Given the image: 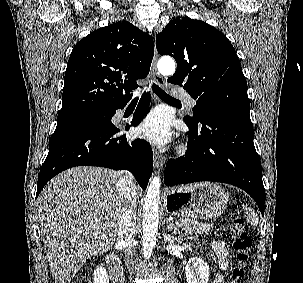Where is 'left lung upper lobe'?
<instances>
[{
	"label": "left lung upper lobe",
	"mask_w": 303,
	"mask_h": 283,
	"mask_svg": "<svg viewBox=\"0 0 303 283\" xmlns=\"http://www.w3.org/2000/svg\"><path fill=\"white\" fill-rule=\"evenodd\" d=\"M156 47L159 54L177 62L168 82L182 86L196 100L193 117L184 119L198 124L205 108L249 113L246 79L223 33L202 21L173 18L157 35Z\"/></svg>",
	"instance_id": "1"
}]
</instances>
